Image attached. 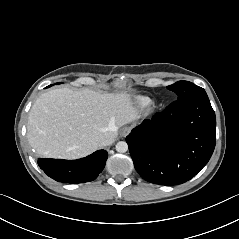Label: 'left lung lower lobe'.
I'll list each match as a JSON object with an SVG mask.
<instances>
[{
  "mask_svg": "<svg viewBox=\"0 0 239 239\" xmlns=\"http://www.w3.org/2000/svg\"><path fill=\"white\" fill-rule=\"evenodd\" d=\"M216 117L205 91L178 99L145 119L126 137L135 169L143 179L178 185L209 161L216 142Z\"/></svg>",
  "mask_w": 239,
  "mask_h": 239,
  "instance_id": "1",
  "label": "left lung lower lobe"
}]
</instances>
